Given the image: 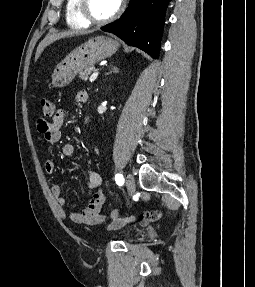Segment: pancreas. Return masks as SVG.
Instances as JSON below:
<instances>
[{
    "instance_id": "pancreas-1",
    "label": "pancreas",
    "mask_w": 255,
    "mask_h": 287,
    "mask_svg": "<svg viewBox=\"0 0 255 287\" xmlns=\"http://www.w3.org/2000/svg\"><path fill=\"white\" fill-rule=\"evenodd\" d=\"M92 72H95L94 66H91V68H86V70H83V72H80V76H78V78H81V80H88Z\"/></svg>"
}]
</instances>
